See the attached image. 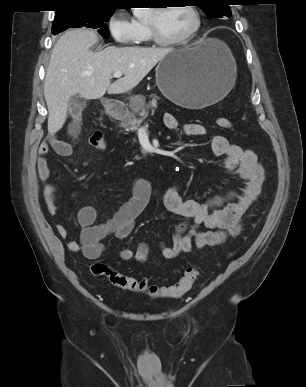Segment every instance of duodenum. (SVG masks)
<instances>
[{"label": "duodenum", "instance_id": "duodenum-1", "mask_svg": "<svg viewBox=\"0 0 306 387\" xmlns=\"http://www.w3.org/2000/svg\"><path fill=\"white\" fill-rule=\"evenodd\" d=\"M108 113L111 118L115 120H120L125 116L126 110L120 106L110 105L108 107Z\"/></svg>", "mask_w": 306, "mask_h": 387}]
</instances>
